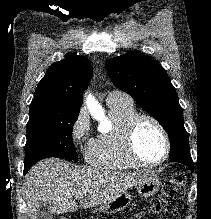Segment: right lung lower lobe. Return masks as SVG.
<instances>
[{"instance_id": "98d812e1", "label": "right lung lower lobe", "mask_w": 211, "mask_h": 219, "mask_svg": "<svg viewBox=\"0 0 211 219\" xmlns=\"http://www.w3.org/2000/svg\"><path fill=\"white\" fill-rule=\"evenodd\" d=\"M30 168H27L24 166V174L29 170Z\"/></svg>"}]
</instances>
